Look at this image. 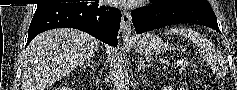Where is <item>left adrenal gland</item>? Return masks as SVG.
Segmentation results:
<instances>
[{
	"mask_svg": "<svg viewBox=\"0 0 237 90\" xmlns=\"http://www.w3.org/2000/svg\"><path fill=\"white\" fill-rule=\"evenodd\" d=\"M144 68H146V66L144 64V60H142V58H140V56H138L137 72H140V70H144Z\"/></svg>",
	"mask_w": 237,
	"mask_h": 90,
	"instance_id": "left-adrenal-gland-1",
	"label": "left adrenal gland"
}]
</instances>
